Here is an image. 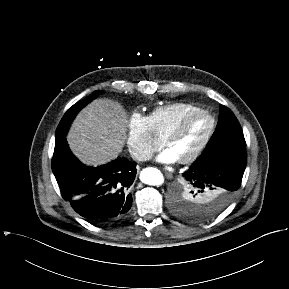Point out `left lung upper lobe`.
<instances>
[{
	"mask_svg": "<svg viewBox=\"0 0 289 289\" xmlns=\"http://www.w3.org/2000/svg\"><path fill=\"white\" fill-rule=\"evenodd\" d=\"M236 147H246L243 131L235 115L227 107L220 105L216 130L201 156ZM180 185V188L174 193L171 206L177 217L194 222L215 217L207 211L209 206L208 197L189 186L186 181H183Z\"/></svg>",
	"mask_w": 289,
	"mask_h": 289,
	"instance_id": "1",
	"label": "left lung upper lobe"
}]
</instances>
